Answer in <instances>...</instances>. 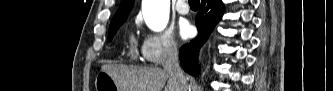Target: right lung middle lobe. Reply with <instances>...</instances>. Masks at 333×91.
I'll return each mask as SVG.
<instances>
[{
  "label": "right lung middle lobe",
  "instance_id": "obj_1",
  "mask_svg": "<svg viewBox=\"0 0 333 91\" xmlns=\"http://www.w3.org/2000/svg\"><path fill=\"white\" fill-rule=\"evenodd\" d=\"M127 18H121L117 20H113L110 23L109 33H108V40L111 41L115 33L117 32L118 28L126 21Z\"/></svg>",
  "mask_w": 333,
  "mask_h": 91
}]
</instances>
